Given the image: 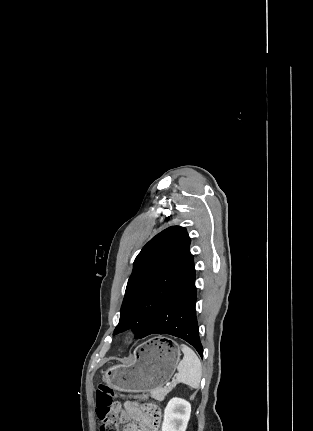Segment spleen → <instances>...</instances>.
<instances>
[{"label": "spleen", "instance_id": "obj_1", "mask_svg": "<svg viewBox=\"0 0 313 431\" xmlns=\"http://www.w3.org/2000/svg\"><path fill=\"white\" fill-rule=\"evenodd\" d=\"M184 354L183 359L178 364L176 379L191 388L197 389L200 386L202 377V365L195 352L185 344H181Z\"/></svg>", "mask_w": 313, "mask_h": 431}]
</instances>
